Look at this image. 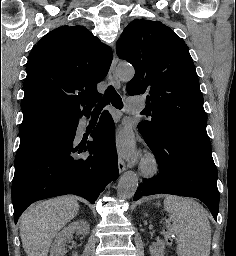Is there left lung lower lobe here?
<instances>
[{"instance_id": "0a47b994", "label": "left lung lower lobe", "mask_w": 236, "mask_h": 256, "mask_svg": "<svg viewBox=\"0 0 236 256\" xmlns=\"http://www.w3.org/2000/svg\"><path fill=\"white\" fill-rule=\"evenodd\" d=\"M142 136L155 154L160 172L151 179H143L134 201L159 193L195 197L207 205L217 220V168L210 141L168 129L156 140Z\"/></svg>"}]
</instances>
